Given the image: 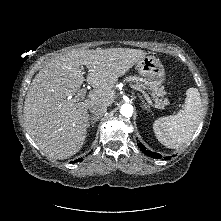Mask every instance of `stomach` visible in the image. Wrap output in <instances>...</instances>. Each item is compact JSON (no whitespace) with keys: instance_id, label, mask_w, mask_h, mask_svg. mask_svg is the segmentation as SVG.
<instances>
[{"instance_id":"obj_1","label":"stomach","mask_w":221,"mask_h":221,"mask_svg":"<svg viewBox=\"0 0 221 221\" xmlns=\"http://www.w3.org/2000/svg\"><path fill=\"white\" fill-rule=\"evenodd\" d=\"M137 71L148 79L155 80L158 84L165 81V69L161 61L154 56H145L136 64Z\"/></svg>"}]
</instances>
